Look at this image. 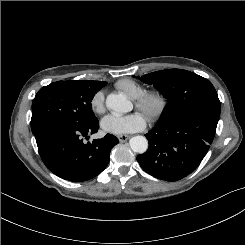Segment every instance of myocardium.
<instances>
[{"label":"myocardium","mask_w":245,"mask_h":245,"mask_svg":"<svg viewBox=\"0 0 245 245\" xmlns=\"http://www.w3.org/2000/svg\"><path fill=\"white\" fill-rule=\"evenodd\" d=\"M135 107L141 111L149 122L159 120L168 107L166 95L157 89L144 91L134 100Z\"/></svg>","instance_id":"myocardium-1"}]
</instances>
